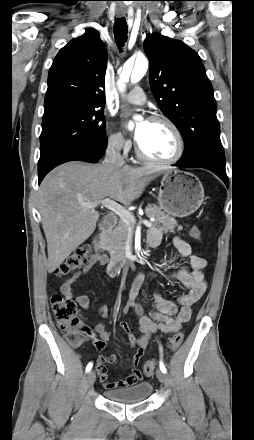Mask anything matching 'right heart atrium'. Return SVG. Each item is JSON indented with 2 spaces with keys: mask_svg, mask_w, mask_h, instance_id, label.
Instances as JSON below:
<instances>
[{
  "mask_svg": "<svg viewBox=\"0 0 254 440\" xmlns=\"http://www.w3.org/2000/svg\"><path fill=\"white\" fill-rule=\"evenodd\" d=\"M107 144L110 149L124 154L130 152L132 147L131 141L118 131H112L109 133Z\"/></svg>",
  "mask_w": 254,
  "mask_h": 440,
  "instance_id": "d8ad5b80",
  "label": "right heart atrium"
}]
</instances>
